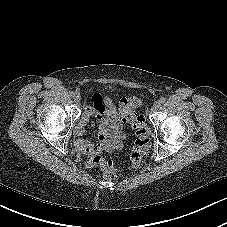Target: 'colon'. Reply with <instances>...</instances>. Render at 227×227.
I'll list each match as a JSON object with an SVG mask.
<instances>
[{"label":"colon","instance_id":"5ec220e1","mask_svg":"<svg viewBox=\"0 0 227 227\" xmlns=\"http://www.w3.org/2000/svg\"><path fill=\"white\" fill-rule=\"evenodd\" d=\"M142 105L139 97L125 98L121 102V115L125 123H129L136 133V140L130 155V168H137L145 155L150 144V131L142 115H137L134 110ZM90 167L99 166L105 178L114 179L118 168L112 161L104 159L102 156L95 154L88 162Z\"/></svg>","mask_w":227,"mask_h":227}]
</instances>
